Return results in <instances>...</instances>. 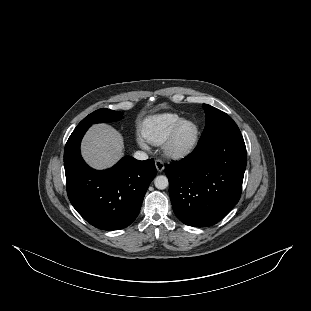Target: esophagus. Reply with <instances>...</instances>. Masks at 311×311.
<instances>
[{
    "instance_id": "obj_1",
    "label": "esophagus",
    "mask_w": 311,
    "mask_h": 311,
    "mask_svg": "<svg viewBox=\"0 0 311 311\" xmlns=\"http://www.w3.org/2000/svg\"><path fill=\"white\" fill-rule=\"evenodd\" d=\"M155 166H156L157 171L160 173L163 172L165 168L163 161L159 159L155 160Z\"/></svg>"
}]
</instances>
